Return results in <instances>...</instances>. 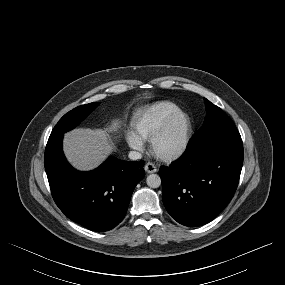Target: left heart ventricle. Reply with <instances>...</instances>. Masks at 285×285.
Here are the masks:
<instances>
[{
  "label": "left heart ventricle",
  "mask_w": 285,
  "mask_h": 285,
  "mask_svg": "<svg viewBox=\"0 0 285 285\" xmlns=\"http://www.w3.org/2000/svg\"><path fill=\"white\" fill-rule=\"evenodd\" d=\"M184 131L185 120L183 118H178L174 121L166 135L160 141V149L163 151H172L176 149L183 138Z\"/></svg>",
  "instance_id": "1"
}]
</instances>
